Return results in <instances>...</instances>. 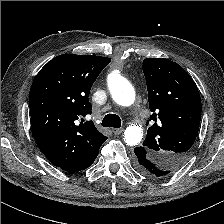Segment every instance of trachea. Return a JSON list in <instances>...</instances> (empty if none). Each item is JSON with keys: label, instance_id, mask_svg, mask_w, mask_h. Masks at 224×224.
<instances>
[{"label": "trachea", "instance_id": "3493384b", "mask_svg": "<svg viewBox=\"0 0 224 224\" xmlns=\"http://www.w3.org/2000/svg\"><path fill=\"white\" fill-rule=\"evenodd\" d=\"M101 125L103 127H114V128H119L121 127V119L118 115L116 114H107L103 120Z\"/></svg>", "mask_w": 224, "mask_h": 224}]
</instances>
